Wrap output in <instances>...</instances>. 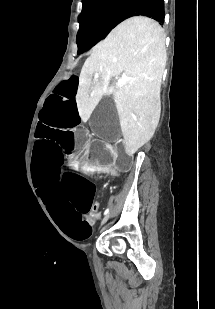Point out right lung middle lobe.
Masks as SVG:
<instances>
[{"instance_id": "right-lung-middle-lobe-1", "label": "right lung middle lobe", "mask_w": 215, "mask_h": 309, "mask_svg": "<svg viewBox=\"0 0 215 309\" xmlns=\"http://www.w3.org/2000/svg\"><path fill=\"white\" fill-rule=\"evenodd\" d=\"M130 0H82L80 28L77 34L78 54L102 40L124 11Z\"/></svg>"}]
</instances>
